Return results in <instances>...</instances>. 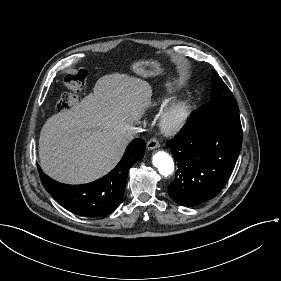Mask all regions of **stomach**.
Returning a JSON list of instances; mask_svg holds the SVG:
<instances>
[{
  "label": "stomach",
  "instance_id": "0dacf381",
  "mask_svg": "<svg viewBox=\"0 0 281 281\" xmlns=\"http://www.w3.org/2000/svg\"><path fill=\"white\" fill-rule=\"evenodd\" d=\"M130 71L142 79L165 76L166 86L173 90L179 83L178 79L169 73L166 67L156 58H142L129 64ZM182 84V83H181Z\"/></svg>",
  "mask_w": 281,
  "mask_h": 281
}]
</instances>
